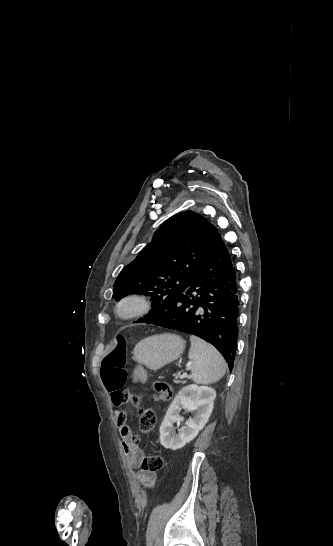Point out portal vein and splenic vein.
<instances>
[{"mask_svg": "<svg viewBox=\"0 0 333 546\" xmlns=\"http://www.w3.org/2000/svg\"><path fill=\"white\" fill-rule=\"evenodd\" d=\"M190 366H191V363H189V364L187 365V367H190ZM185 376H187V374H186V373H183V374H182V377H185Z\"/></svg>", "mask_w": 333, "mask_h": 546, "instance_id": "obj_1", "label": "portal vein and splenic vein"}]
</instances>
